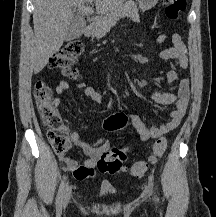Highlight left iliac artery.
Segmentation results:
<instances>
[{
    "instance_id": "left-iliac-artery-1",
    "label": "left iliac artery",
    "mask_w": 216,
    "mask_h": 217,
    "mask_svg": "<svg viewBox=\"0 0 216 217\" xmlns=\"http://www.w3.org/2000/svg\"><path fill=\"white\" fill-rule=\"evenodd\" d=\"M154 200L157 202V201H158V198H156V197L154 196Z\"/></svg>"
}]
</instances>
